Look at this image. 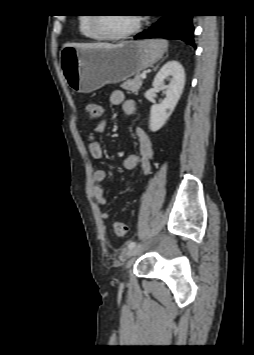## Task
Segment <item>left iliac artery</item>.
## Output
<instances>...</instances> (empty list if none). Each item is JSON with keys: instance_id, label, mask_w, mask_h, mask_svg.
Instances as JSON below:
<instances>
[{"instance_id": "left-iliac-artery-1", "label": "left iliac artery", "mask_w": 254, "mask_h": 355, "mask_svg": "<svg viewBox=\"0 0 254 355\" xmlns=\"http://www.w3.org/2000/svg\"><path fill=\"white\" fill-rule=\"evenodd\" d=\"M136 246V242H134V241H130L129 243H128V248L129 249H131V248H133V247H135Z\"/></svg>"}]
</instances>
